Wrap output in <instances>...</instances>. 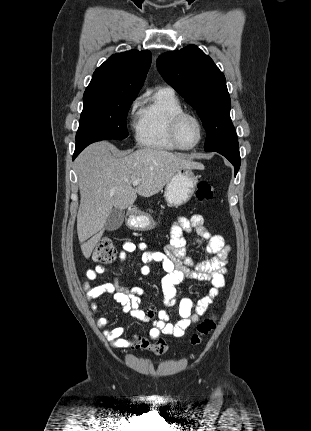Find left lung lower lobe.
<instances>
[{
	"mask_svg": "<svg viewBox=\"0 0 311 431\" xmlns=\"http://www.w3.org/2000/svg\"><path fill=\"white\" fill-rule=\"evenodd\" d=\"M215 152L220 153L221 155L226 157L232 163V165L235 168V175H236L239 168H240V164H241L239 148L238 149H221V150H216Z\"/></svg>",
	"mask_w": 311,
	"mask_h": 431,
	"instance_id": "obj_1",
	"label": "left lung lower lobe"
}]
</instances>
